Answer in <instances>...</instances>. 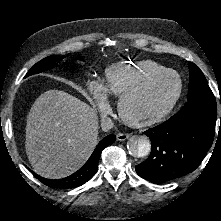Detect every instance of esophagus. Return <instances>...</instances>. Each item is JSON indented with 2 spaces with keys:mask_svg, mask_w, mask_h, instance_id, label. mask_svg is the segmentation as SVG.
<instances>
[{
  "mask_svg": "<svg viewBox=\"0 0 221 221\" xmlns=\"http://www.w3.org/2000/svg\"><path fill=\"white\" fill-rule=\"evenodd\" d=\"M129 137H130V134H127V133H118L117 134V140L118 141H125Z\"/></svg>",
  "mask_w": 221,
  "mask_h": 221,
  "instance_id": "obj_1",
  "label": "esophagus"
}]
</instances>
